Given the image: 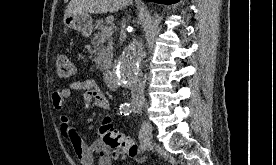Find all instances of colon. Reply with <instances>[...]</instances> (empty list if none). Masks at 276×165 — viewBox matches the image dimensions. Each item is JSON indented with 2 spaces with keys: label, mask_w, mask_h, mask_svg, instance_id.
<instances>
[{
  "label": "colon",
  "mask_w": 276,
  "mask_h": 165,
  "mask_svg": "<svg viewBox=\"0 0 276 165\" xmlns=\"http://www.w3.org/2000/svg\"><path fill=\"white\" fill-rule=\"evenodd\" d=\"M75 66L66 55H59L56 59V76L60 80H69L75 75ZM100 139L112 149L122 151L126 156L142 160L137 144L127 135L114 128L109 118L104 119L99 128Z\"/></svg>",
  "instance_id": "obj_1"
}]
</instances>
